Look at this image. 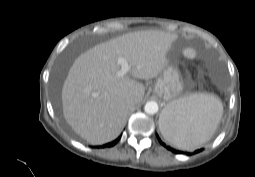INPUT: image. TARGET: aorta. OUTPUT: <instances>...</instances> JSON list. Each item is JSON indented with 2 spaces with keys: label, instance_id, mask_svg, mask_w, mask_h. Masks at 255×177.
Listing matches in <instances>:
<instances>
[{
  "label": "aorta",
  "instance_id": "762f6f07",
  "mask_svg": "<svg viewBox=\"0 0 255 177\" xmlns=\"http://www.w3.org/2000/svg\"><path fill=\"white\" fill-rule=\"evenodd\" d=\"M158 109V104L155 101H149L144 106V110L148 114H155L158 112Z\"/></svg>",
  "mask_w": 255,
  "mask_h": 177
}]
</instances>
